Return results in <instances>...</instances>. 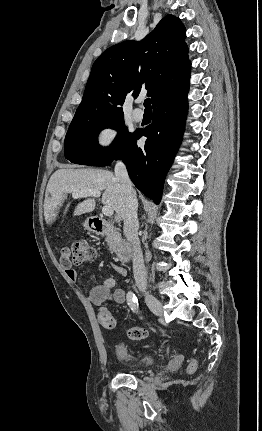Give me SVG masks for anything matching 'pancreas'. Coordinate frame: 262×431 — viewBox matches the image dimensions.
<instances>
[{"label":"pancreas","instance_id":"1","mask_svg":"<svg viewBox=\"0 0 262 431\" xmlns=\"http://www.w3.org/2000/svg\"><path fill=\"white\" fill-rule=\"evenodd\" d=\"M106 241L108 243L109 250L112 253L118 251V247L121 243L120 235L118 232L112 231L108 233V235L106 236Z\"/></svg>","mask_w":262,"mask_h":431}]
</instances>
